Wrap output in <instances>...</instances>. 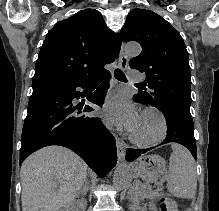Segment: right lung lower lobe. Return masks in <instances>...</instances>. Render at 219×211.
<instances>
[{"instance_id":"obj_1","label":"right lung lower lobe","mask_w":219,"mask_h":211,"mask_svg":"<svg viewBox=\"0 0 219 211\" xmlns=\"http://www.w3.org/2000/svg\"><path fill=\"white\" fill-rule=\"evenodd\" d=\"M109 71L91 79H65L33 81V93L24 122L20 162L31 153L49 145L67 147L77 153L99 177H104L116 165L115 138L98 117L84 113L95 110L94 106L75 105L74 99L83 97L78 88L89 93L98 83L102 84L87 99L102 106L109 87Z\"/></svg>"}]
</instances>
